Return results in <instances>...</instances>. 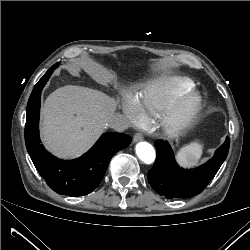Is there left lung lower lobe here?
Segmentation results:
<instances>
[{
	"label": "left lung lower lobe",
	"mask_w": 250,
	"mask_h": 250,
	"mask_svg": "<svg viewBox=\"0 0 250 250\" xmlns=\"http://www.w3.org/2000/svg\"><path fill=\"white\" fill-rule=\"evenodd\" d=\"M230 146L229 138L215 151L204 165L182 169L175 162L174 154L166 141H155L157 157L147 178L152 188L166 198H189L201 193L214 178L225 161Z\"/></svg>",
	"instance_id": "left-lung-lower-lobe-1"
}]
</instances>
